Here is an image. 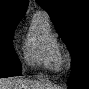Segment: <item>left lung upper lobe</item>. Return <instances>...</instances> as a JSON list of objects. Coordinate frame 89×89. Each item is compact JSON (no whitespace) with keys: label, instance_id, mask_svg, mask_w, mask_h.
I'll list each match as a JSON object with an SVG mask.
<instances>
[{"label":"left lung upper lobe","instance_id":"1","mask_svg":"<svg viewBox=\"0 0 89 89\" xmlns=\"http://www.w3.org/2000/svg\"><path fill=\"white\" fill-rule=\"evenodd\" d=\"M48 12L72 57L70 89L89 88V0H36Z\"/></svg>","mask_w":89,"mask_h":89}]
</instances>
